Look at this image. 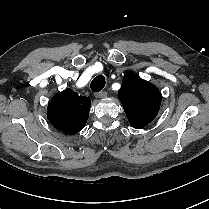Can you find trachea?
Wrapping results in <instances>:
<instances>
[{"label": "trachea", "instance_id": "obj_1", "mask_svg": "<svg viewBox=\"0 0 209 209\" xmlns=\"http://www.w3.org/2000/svg\"><path fill=\"white\" fill-rule=\"evenodd\" d=\"M105 83V77L103 75H98L91 81V90L93 92H99L104 88Z\"/></svg>", "mask_w": 209, "mask_h": 209}]
</instances>
